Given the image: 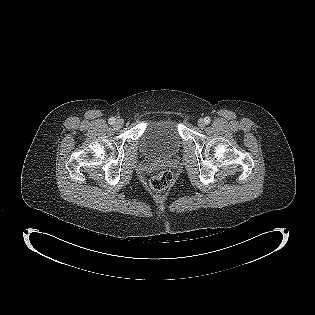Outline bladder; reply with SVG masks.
<instances>
[{
    "instance_id": "bladder-1",
    "label": "bladder",
    "mask_w": 315,
    "mask_h": 315,
    "mask_svg": "<svg viewBox=\"0 0 315 315\" xmlns=\"http://www.w3.org/2000/svg\"><path fill=\"white\" fill-rule=\"evenodd\" d=\"M179 122L167 117L151 123L140 139L142 153L153 160L169 159L181 148Z\"/></svg>"
}]
</instances>
